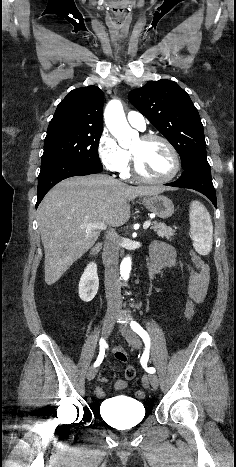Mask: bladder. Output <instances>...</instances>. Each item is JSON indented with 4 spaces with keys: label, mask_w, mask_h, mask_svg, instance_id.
<instances>
[{
    "label": "bladder",
    "mask_w": 236,
    "mask_h": 467,
    "mask_svg": "<svg viewBox=\"0 0 236 467\" xmlns=\"http://www.w3.org/2000/svg\"><path fill=\"white\" fill-rule=\"evenodd\" d=\"M99 411L111 426L118 429L131 428L139 424L146 415L139 400L124 396L103 401Z\"/></svg>",
    "instance_id": "bladder-1"
}]
</instances>
